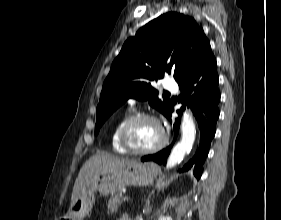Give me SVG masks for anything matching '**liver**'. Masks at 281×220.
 Listing matches in <instances>:
<instances>
[{
  "mask_svg": "<svg viewBox=\"0 0 281 220\" xmlns=\"http://www.w3.org/2000/svg\"><path fill=\"white\" fill-rule=\"evenodd\" d=\"M136 163L135 160L120 159L108 153L97 152L83 164L79 171L72 191L71 206L100 173L123 169Z\"/></svg>",
  "mask_w": 281,
  "mask_h": 220,
  "instance_id": "1",
  "label": "liver"
}]
</instances>
